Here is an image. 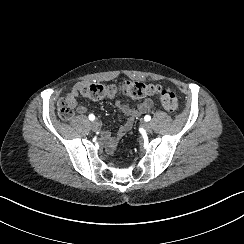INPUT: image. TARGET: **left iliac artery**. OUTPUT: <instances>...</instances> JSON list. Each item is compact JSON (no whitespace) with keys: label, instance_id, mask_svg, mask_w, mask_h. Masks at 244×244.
Instances as JSON below:
<instances>
[{"label":"left iliac artery","instance_id":"1","mask_svg":"<svg viewBox=\"0 0 244 244\" xmlns=\"http://www.w3.org/2000/svg\"><path fill=\"white\" fill-rule=\"evenodd\" d=\"M144 120H145L146 122H148V121L151 120V117H150L149 115H146V116L144 117Z\"/></svg>","mask_w":244,"mask_h":244}]
</instances>
